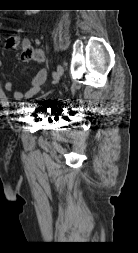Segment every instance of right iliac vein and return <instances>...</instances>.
Returning a JSON list of instances; mask_svg holds the SVG:
<instances>
[{"label": "right iliac vein", "instance_id": "right-iliac-vein-1", "mask_svg": "<svg viewBox=\"0 0 138 253\" xmlns=\"http://www.w3.org/2000/svg\"><path fill=\"white\" fill-rule=\"evenodd\" d=\"M63 74V68L62 66H58L57 67V76L58 78Z\"/></svg>", "mask_w": 138, "mask_h": 253}]
</instances>
